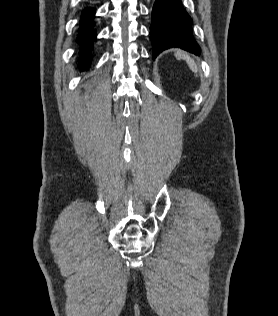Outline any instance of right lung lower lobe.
<instances>
[{
	"label": "right lung lower lobe",
	"instance_id": "1",
	"mask_svg": "<svg viewBox=\"0 0 278 316\" xmlns=\"http://www.w3.org/2000/svg\"><path fill=\"white\" fill-rule=\"evenodd\" d=\"M95 11L93 9H85L81 16V26L79 29V34L77 36V42L81 48L82 58V69L85 70L90 65V53L93 48V43L96 40V30L94 27V17Z\"/></svg>",
	"mask_w": 278,
	"mask_h": 316
}]
</instances>
